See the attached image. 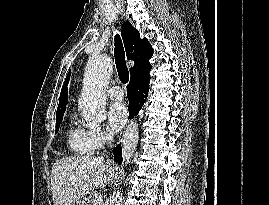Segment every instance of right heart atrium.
<instances>
[{"label":"right heart atrium","mask_w":269,"mask_h":205,"mask_svg":"<svg viewBox=\"0 0 269 205\" xmlns=\"http://www.w3.org/2000/svg\"><path fill=\"white\" fill-rule=\"evenodd\" d=\"M84 137L92 151L104 148L112 140L110 134L103 130H84Z\"/></svg>","instance_id":"right-heart-atrium-1"}]
</instances>
